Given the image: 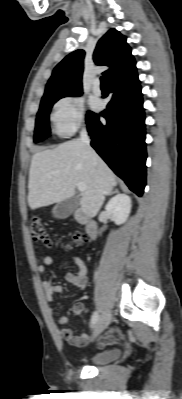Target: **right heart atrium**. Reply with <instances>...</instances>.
Wrapping results in <instances>:
<instances>
[{"instance_id":"right-heart-atrium-1","label":"right heart atrium","mask_w":182,"mask_h":399,"mask_svg":"<svg viewBox=\"0 0 182 399\" xmlns=\"http://www.w3.org/2000/svg\"><path fill=\"white\" fill-rule=\"evenodd\" d=\"M85 108L78 96H67L58 100L52 109L53 131L60 137H66L84 126Z\"/></svg>"}]
</instances>
